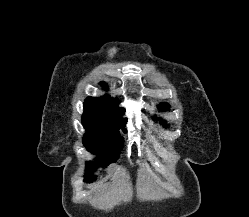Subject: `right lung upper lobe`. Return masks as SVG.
<instances>
[{"instance_id":"1","label":"right lung upper lobe","mask_w":249,"mask_h":217,"mask_svg":"<svg viewBox=\"0 0 249 217\" xmlns=\"http://www.w3.org/2000/svg\"><path fill=\"white\" fill-rule=\"evenodd\" d=\"M118 103L119 101L117 99L111 98L109 95L99 98L88 97L85 100L84 109L116 119L126 125V119L121 118V116L125 113V110L123 108H119Z\"/></svg>"}]
</instances>
